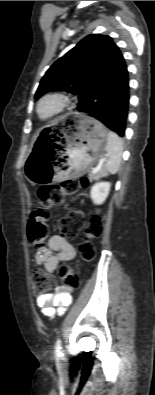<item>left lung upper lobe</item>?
I'll list each match as a JSON object with an SVG mask.
<instances>
[{
    "label": "left lung upper lobe",
    "instance_id": "5c2ea615",
    "mask_svg": "<svg viewBox=\"0 0 155 395\" xmlns=\"http://www.w3.org/2000/svg\"><path fill=\"white\" fill-rule=\"evenodd\" d=\"M124 59L110 36L91 34L58 59L40 81L35 99L46 92L68 91L81 103L97 88L104 75Z\"/></svg>",
    "mask_w": 155,
    "mask_h": 395
}]
</instances>
